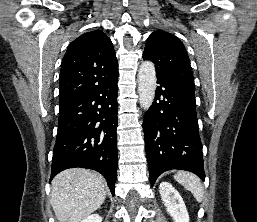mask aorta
<instances>
[{
  "mask_svg": "<svg viewBox=\"0 0 257 222\" xmlns=\"http://www.w3.org/2000/svg\"><path fill=\"white\" fill-rule=\"evenodd\" d=\"M156 88V71L151 61H144L138 71V94L141 108L148 110L152 105Z\"/></svg>",
  "mask_w": 257,
  "mask_h": 222,
  "instance_id": "aorta-1",
  "label": "aorta"
}]
</instances>
